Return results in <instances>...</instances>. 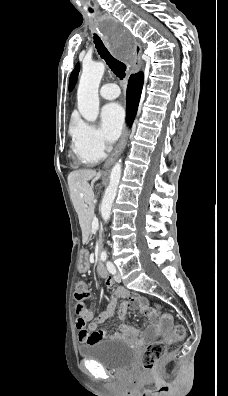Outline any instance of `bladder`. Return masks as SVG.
I'll list each match as a JSON object with an SVG mask.
<instances>
[{
  "label": "bladder",
  "instance_id": "obj_1",
  "mask_svg": "<svg viewBox=\"0 0 228 396\" xmlns=\"http://www.w3.org/2000/svg\"><path fill=\"white\" fill-rule=\"evenodd\" d=\"M79 355L99 363L110 370H123L134 359V351L124 340L118 338L96 341L79 348Z\"/></svg>",
  "mask_w": 228,
  "mask_h": 396
}]
</instances>
